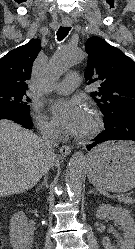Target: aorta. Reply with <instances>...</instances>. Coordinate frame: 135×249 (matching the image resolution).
<instances>
[{
    "label": "aorta",
    "instance_id": "762f6f07",
    "mask_svg": "<svg viewBox=\"0 0 135 249\" xmlns=\"http://www.w3.org/2000/svg\"><path fill=\"white\" fill-rule=\"evenodd\" d=\"M83 52L79 48L62 46L51 58L45 71L47 81L58 80L70 67L79 63ZM86 158L82 152L75 153L68 164L65 182L68 193L74 201L80 200L85 173Z\"/></svg>",
    "mask_w": 135,
    "mask_h": 249
}]
</instances>
